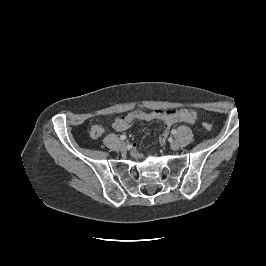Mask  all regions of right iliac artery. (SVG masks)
<instances>
[{
  "label": "right iliac artery",
  "mask_w": 266,
  "mask_h": 266,
  "mask_svg": "<svg viewBox=\"0 0 266 266\" xmlns=\"http://www.w3.org/2000/svg\"><path fill=\"white\" fill-rule=\"evenodd\" d=\"M126 138H127V136L124 135V134L120 136V139H121V140H126Z\"/></svg>",
  "instance_id": "right-iliac-artery-1"
}]
</instances>
